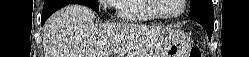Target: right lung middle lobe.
Returning <instances> with one entry per match:
<instances>
[{"label": "right lung middle lobe", "mask_w": 249, "mask_h": 57, "mask_svg": "<svg viewBox=\"0 0 249 57\" xmlns=\"http://www.w3.org/2000/svg\"><path fill=\"white\" fill-rule=\"evenodd\" d=\"M78 2H82V5L88 6L94 11L99 12L98 0H79Z\"/></svg>", "instance_id": "right-lung-middle-lobe-1"}]
</instances>
